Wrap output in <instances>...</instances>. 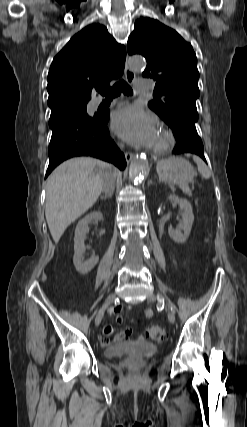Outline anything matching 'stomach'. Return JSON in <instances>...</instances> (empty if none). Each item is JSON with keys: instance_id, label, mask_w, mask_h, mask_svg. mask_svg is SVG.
Here are the masks:
<instances>
[{"instance_id": "1", "label": "stomach", "mask_w": 247, "mask_h": 427, "mask_svg": "<svg viewBox=\"0 0 247 427\" xmlns=\"http://www.w3.org/2000/svg\"><path fill=\"white\" fill-rule=\"evenodd\" d=\"M157 172L160 181L169 184L185 185L192 181L195 176L192 165L181 157H174L160 162Z\"/></svg>"}]
</instances>
